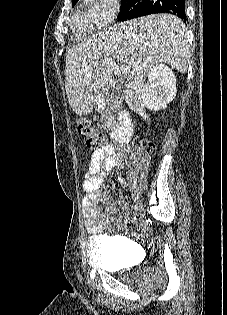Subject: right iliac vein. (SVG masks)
Listing matches in <instances>:
<instances>
[{
  "mask_svg": "<svg viewBox=\"0 0 227 315\" xmlns=\"http://www.w3.org/2000/svg\"><path fill=\"white\" fill-rule=\"evenodd\" d=\"M134 210H135V214H136V215L141 214V212H142V210H143V205H142L141 200H138V201L136 202Z\"/></svg>",
  "mask_w": 227,
  "mask_h": 315,
  "instance_id": "63e3f726",
  "label": "right iliac vein"
}]
</instances>
